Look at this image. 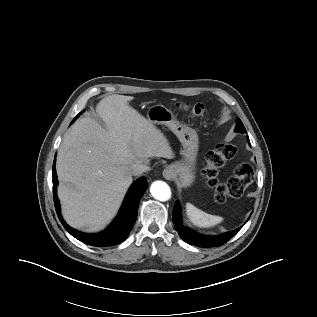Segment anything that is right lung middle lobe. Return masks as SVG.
Returning a JSON list of instances; mask_svg holds the SVG:
<instances>
[{
    "label": "right lung middle lobe",
    "mask_w": 317,
    "mask_h": 317,
    "mask_svg": "<svg viewBox=\"0 0 317 317\" xmlns=\"http://www.w3.org/2000/svg\"><path fill=\"white\" fill-rule=\"evenodd\" d=\"M81 113H79L76 117H78Z\"/></svg>",
    "instance_id": "obj_1"
}]
</instances>
